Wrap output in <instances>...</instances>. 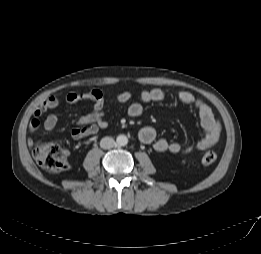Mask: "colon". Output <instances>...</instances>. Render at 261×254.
<instances>
[{
  "mask_svg": "<svg viewBox=\"0 0 261 254\" xmlns=\"http://www.w3.org/2000/svg\"><path fill=\"white\" fill-rule=\"evenodd\" d=\"M32 154L40 167L49 172H60L67 166V158L64 149L52 142L35 143ZM217 159V153L213 150L207 151L202 157L204 165H211Z\"/></svg>",
  "mask_w": 261,
  "mask_h": 254,
  "instance_id": "obj_1",
  "label": "colon"
}]
</instances>
